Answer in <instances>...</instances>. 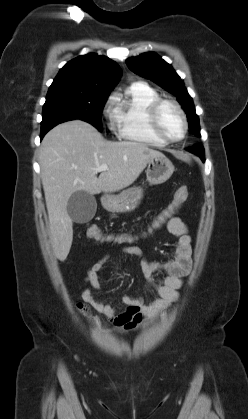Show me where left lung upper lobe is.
Wrapping results in <instances>:
<instances>
[{
    "label": "left lung upper lobe",
    "mask_w": 248,
    "mask_h": 419,
    "mask_svg": "<svg viewBox=\"0 0 248 419\" xmlns=\"http://www.w3.org/2000/svg\"><path fill=\"white\" fill-rule=\"evenodd\" d=\"M126 64L136 74L152 80L174 94L186 112L189 131L195 136L201 137L199 117L195 112L193 100L188 94L183 80L170 64L153 52L129 58L126 60Z\"/></svg>",
    "instance_id": "left-lung-upper-lobe-1"
}]
</instances>
